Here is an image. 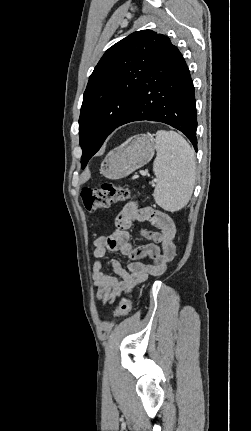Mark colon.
<instances>
[{"instance_id": "obj_1", "label": "colon", "mask_w": 251, "mask_h": 431, "mask_svg": "<svg viewBox=\"0 0 251 431\" xmlns=\"http://www.w3.org/2000/svg\"><path fill=\"white\" fill-rule=\"evenodd\" d=\"M131 194L128 189L114 186L109 183L103 184L100 188L92 189L84 187L81 190L83 205L88 212L110 207L112 204L128 200ZM131 307V300L123 297L115 312L116 318H123L128 315Z\"/></svg>"}]
</instances>
